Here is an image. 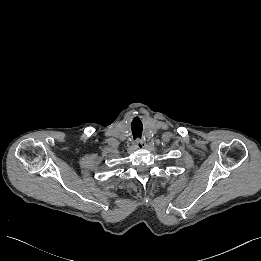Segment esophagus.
<instances>
[{
    "mask_svg": "<svg viewBox=\"0 0 261 261\" xmlns=\"http://www.w3.org/2000/svg\"><path fill=\"white\" fill-rule=\"evenodd\" d=\"M135 147L136 148H144L145 147V142L141 140L135 141Z\"/></svg>",
    "mask_w": 261,
    "mask_h": 261,
    "instance_id": "34e87169",
    "label": "esophagus"
}]
</instances>
